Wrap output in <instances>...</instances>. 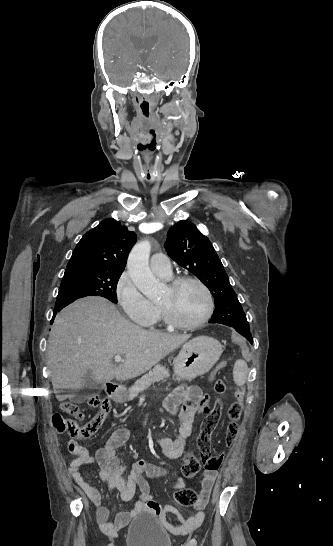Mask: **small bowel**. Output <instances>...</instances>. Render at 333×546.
I'll use <instances>...</instances> for the list:
<instances>
[{
  "label": "small bowel",
  "mask_w": 333,
  "mask_h": 546,
  "mask_svg": "<svg viewBox=\"0 0 333 546\" xmlns=\"http://www.w3.org/2000/svg\"><path fill=\"white\" fill-rule=\"evenodd\" d=\"M232 337L234 346L240 349L243 355V360L249 361L251 349L245 345L242 333L234 332ZM226 361H229V358H226ZM226 361L222 359L214 364L210 370L212 374L209 379L211 381H206V386H212V381L216 379L214 374L226 370ZM201 398V389L194 385L179 387L166 397L164 407L168 412L174 413L179 406H183L179 413L180 423L177 437L175 439L167 437L157 439V444L166 457L177 459L184 452L187 440L192 433L194 417ZM128 435V430L124 428L116 430L94 454H91L87 447L76 440L70 439L66 444L67 451L74 456L68 465L69 473L94 505L96 520L101 531L108 537H114L132 518L147 511L158 517L167 531L172 534L186 535L194 532L204 521V508L216 480L217 472L209 470L203 472L200 500L195 506L196 513L190 517H184L174 506L161 507L151 498L149 486L143 473L151 477H159L165 474L164 469L143 461L129 464L116 456L117 448L126 442ZM93 463L100 466V477L109 491H117L123 501L131 500L137 493V499L133 507L130 510L119 512L113 520L109 519L110 511L103 505L100 491L89 483L82 474V468ZM173 485L183 487L184 480L177 477ZM169 514L176 515L180 524L175 526L170 523L168 520Z\"/></svg>",
  "instance_id": "obj_1"
}]
</instances>
